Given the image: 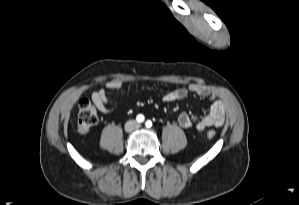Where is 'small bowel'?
I'll return each mask as SVG.
<instances>
[{
	"mask_svg": "<svg viewBox=\"0 0 299 205\" xmlns=\"http://www.w3.org/2000/svg\"><path fill=\"white\" fill-rule=\"evenodd\" d=\"M123 83L119 79H113L105 84L102 89L95 90L92 95V101L95 106L104 114H110L112 108L107 98V92L112 90H119ZM188 92H192L201 97H209L211 105L208 112L199 120H194L192 116L186 112L179 115L178 123L181 127L188 129L196 127L198 130H204L210 126H222L225 121V110L222 101L212 92L208 90L205 85L193 83L188 88H177L166 93L163 97L165 102L179 101L187 97Z\"/></svg>",
	"mask_w": 299,
	"mask_h": 205,
	"instance_id": "small-bowel-1",
	"label": "small bowel"
}]
</instances>
